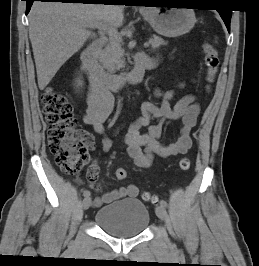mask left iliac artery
<instances>
[{
  "instance_id": "44dca946",
  "label": "left iliac artery",
  "mask_w": 259,
  "mask_h": 266,
  "mask_svg": "<svg viewBox=\"0 0 259 266\" xmlns=\"http://www.w3.org/2000/svg\"><path fill=\"white\" fill-rule=\"evenodd\" d=\"M160 205L163 207H167V202L165 200H161Z\"/></svg>"
}]
</instances>
